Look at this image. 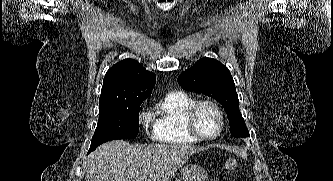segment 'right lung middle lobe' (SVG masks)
I'll return each mask as SVG.
<instances>
[{"label": "right lung middle lobe", "mask_w": 333, "mask_h": 181, "mask_svg": "<svg viewBox=\"0 0 333 181\" xmlns=\"http://www.w3.org/2000/svg\"><path fill=\"white\" fill-rule=\"evenodd\" d=\"M143 101L99 109L97 128L92 137L90 151L100 144L115 139H133L139 131V110Z\"/></svg>", "instance_id": "dd1d6c3e"}]
</instances>
